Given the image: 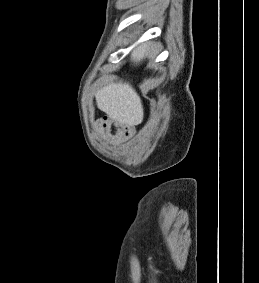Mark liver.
<instances>
[{
  "instance_id": "6515ba94",
  "label": "liver",
  "mask_w": 259,
  "mask_h": 283,
  "mask_svg": "<svg viewBox=\"0 0 259 283\" xmlns=\"http://www.w3.org/2000/svg\"><path fill=\"white\" fill-rule=\"evenodd\" d=\"M149 44L138 46L131 60L138 64L148 55ZM96 103L98 108L110 118L130 126L143 121V106L135 89L129 83H111L97 91Z\"/></svg>"
}]
</instances>
